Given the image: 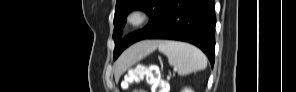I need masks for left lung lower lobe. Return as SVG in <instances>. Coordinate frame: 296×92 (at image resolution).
<instances>
[{"label": "left lung lower lobe", "instance_id": "obj_1", "mask_svg": "<svg viewBox=\"0 0 296 92\" xmlns=\"http://www.w3.org/2000/svg\"><path fill=\"white\" fill-rule=\"evenodd\" d=\"M215 1L170 0L163 23L144 39H171L199 47L214 64Z\"/></svg>", "mask_w": 296, "mask_h": 92}]
</instances>
